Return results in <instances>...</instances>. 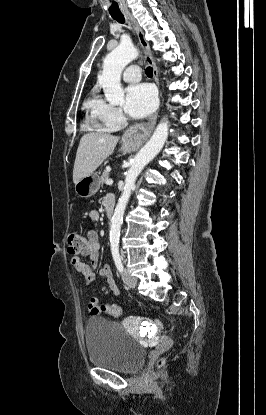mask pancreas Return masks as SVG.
<instances>
[{
    "mask_svg": "<svg viewBox=\"0 0 266 415\" xmlns=\"http://www.w3.org/2000/svg\"><path fill=\"white\" fill-rule=\"evenodd\" d=\"M109 179V172L107 171V170H105L103 173H102V176H101V179H100V183L101 184H104V183H106V181Z\"/></svg>",
    "mask_w": 266,
    "mask_h": 415,
    "instance_id": "obj_1",
    "label": "pancreas"
}]
</instances>
